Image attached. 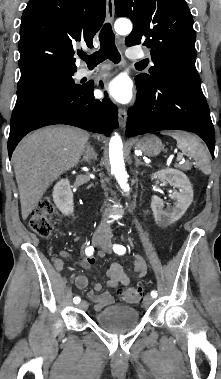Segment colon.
<instances>
[{"mask_svg":"<svg viewBox=\"0 0 221 379\" xmlns=\"http://www.w3.org/2000/svg\"><path fill=\"white\" fill-rule=\"evenodd\" d=\"M53 214H55V207L50 201L42 200L38 202L29 217L30 228L39 236H49L53 230L51 219ZM121 296L129 303H139L143 299L142 290L138 287L122 291Z\"/></svg>","mask_w":221,"mask_h":379,"instance_id":"obj_1","label":"colon"}]
</instances>
